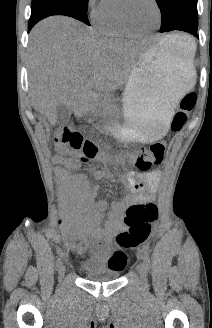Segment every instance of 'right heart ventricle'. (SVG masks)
<instances>
[{
    "label": "right heart ventricle",
    "instance_id": "e07e8e85",
    "mask_svg": "<svg viewBox=\"0 0 212 328\" xmlns=\"http://www.w3.org/2000/svg\"><path fill=\"white\" fill-rule=\"evenodd\" d=\"M96 25L103 33L113 37H130L135 33L129 31L122 23L118 13V2L111 0L103 13L96 20Z\"/></svg>",
    "mask_w": 212,
    "mask_h": 328
}]
</instances>
